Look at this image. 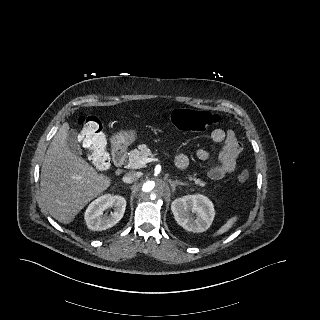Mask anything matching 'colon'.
I'll return each mask as SVG.
<instances>
[{
    "mask_svg": "<svg viewBox=\"0 0 320 320\" xmlns=\"http://www.w3.org/2000/svg\"><path fill=\"white\" fill-rule=\"evenodd\" d=\"M171 121L179 130L199 133L219 124L221 118L208 111L179 108L172 112ZM79 125L82 127L83 146L91 161L98 169H108L111 161L105 151L106 137L101 121L96 116H85L79 119ZM249 177V171L242 169L237 175V180L244 183Z\"/></svg>",
    "mask_w": 320,
    "mask_h": 320,
    "instance_id": "colon-1",
    "label": "colon"
}]
</instances>
